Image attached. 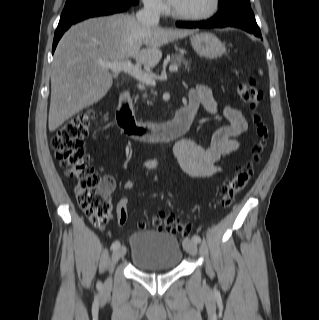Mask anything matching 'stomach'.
I'll return each mask as SVG.
<instances>
[{"instance_id":"obj_1","label":"stomach","mask_w":319,"mask_h":320,"mask_svg":"<svg viewBox=\"0 0 319 320\" xmlns=\"http://www.w3.org/2000/svg\"><path fill=\"white\" fill-rule=\"evenodd\" d=\"M191 45L199 55L209 59L218 58L225 53V46L216 35L210 32L193 35Z\"/></svg>"}]
</instances>
